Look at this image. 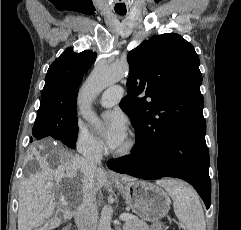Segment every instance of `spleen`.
Listing matches in <instances>:
<instances>
[{"label": "spleen", "mask_w": 241, "mask_h": 230, "mask_svg": "<svg viewBox=\"0 0 241 230\" xmlns=\"http://www.w3.org/2000/svg\"><path fill=\"white\" fill-rule=\"evenodd\" d=\"M173 200L174 212L186 230H206L202 205L197 193L188 184L165 179L158 182Z\"/></svg>", "instance_id": "spleen-1"}]
</instances>
